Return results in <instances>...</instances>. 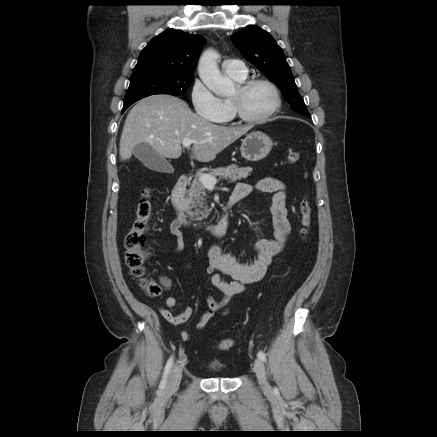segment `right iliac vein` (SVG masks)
<instances>
[{
	"instance_id": "right-iliac-vein-1",
	"label": "right iliac vein",
	"mask_w": 437,
	"mask_h": 437,
	"mask_svg": "<svg viewBox=\"0 0 437 437\" xmlns=\"http://www.w3.org/2000/svg\"><path fill=\"white\" fill-rule=\"evenodd\" d=\"M181 377H182L181 367L178 364H176L174 365V367L172 368L169 374L165 392L168 394L175 392L179 387Z\"/></svg>"
}]
</instances>
